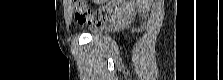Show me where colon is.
Masks as SVG:
<instances>
[{"instance_id": "1", "label": "colon", "mask_w": 223, "mask_h": 80, "mask_svg": "<svg viewBox=\"0 0 223 80\" xmlns=\"http://www.w3.org/2000/svg\"><path fill=\"white\" fill-rule=\"evenodd\" d=\"M125 3V0H111L106 6L91 11L85 1L74 0L75 17L81 24L99 25L109 18L114 9L122 7Z\"/></svg>"}]
</instances>
